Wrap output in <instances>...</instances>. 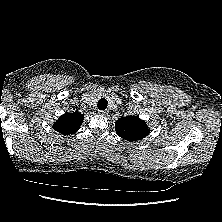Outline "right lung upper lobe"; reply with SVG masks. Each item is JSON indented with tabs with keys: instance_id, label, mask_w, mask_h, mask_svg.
<instances>
[{
	"instance_id": "right-lung-upper-lobe-1",
	"label": "right lung upper lobe",
	"mask_w": 222,
	"mask_h": 222,
	"mask_svg": "<svg viewBox=\"0 0 222 222\" xmlns=\"http://www.w3.org/2000/svg\"><path fill=\"white\" fill-rule=\"evenodd\" d=\"M83 119V115L78 112L65 113L53 124V128L60 134L70 135L80 128Z\"/></svg>"
}]
</instances>
